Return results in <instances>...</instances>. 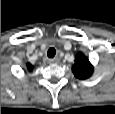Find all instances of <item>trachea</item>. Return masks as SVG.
<instances>
[{
    "instance_id": "trachea-1",
    "label": "trachea",
    "mask_w": 115,
    "mask_h": 114,
    "mask_svg": "<svg viewBox=\"0 0 115 114\" xmlns=\"http://www.w3.org/2000/svg\"><path fill=\"white\" fill-rule=\"evenodd\" d=\"M55 54H56V50L54 48H49L48 49L47 56L49 58H53L55 56Z\"/></svg>"
}]
</instances>
